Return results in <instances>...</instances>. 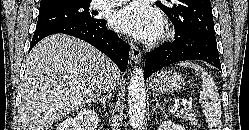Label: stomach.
I'll use <instances>...</instances> for the list:
<instances>
[{"instance_id": "0dacf381", "label": "stomach", "mask_w": 249, "mask_h": 130, "mask_svg": "<svg viewBox=\"0 0 249 130\" xmlns=\"http://www.w3.org/2000/svg\"><path fill=\"white\" fill-rule=\"evenodd\" d=\"M185 84V81L177 72L164 70L155 74L151 79V88L161 93H174L179 91Z\"/></svg>"}]
</instances>
